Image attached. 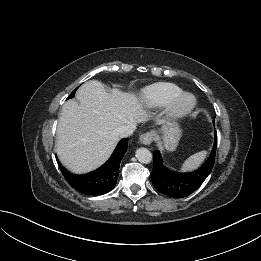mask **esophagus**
<instances>
[{
  "label": "esophagus",
  "instance_id": "1",
  "mask_svg": "<svg viewBox=\"0 0 261 261\" xmlns=\"http://www.w3.org/2000/svg\"><path fill=\"white\" fill-rule=\"evenodd\" d=\"M155 133L153 131L142 134L139 138L140 142L144 145H149L154 139Z\"/></svg>",
  "mask_w": 261,
  "mask_h": 261
}]
</instances>
